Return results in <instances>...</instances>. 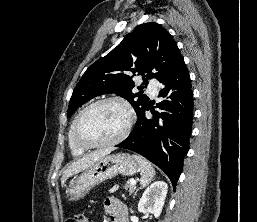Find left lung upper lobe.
<instances>
[{"instance_id":"left-lung-upper-lobe-1","label":"left lung upper lobe","mask_w":257,"mask_h":222,"mask_svg":"<svg viewBox=\"0 0 257 222\" xmlns=\"http://www.w3.org/2000/svg\"><path fill=\"white\" fill-rule=\"evenodd\" d=\"M172 35L155 22L137 26L105 57L94 62L83 74L70 99L67 117L90 99L109 93L125 98L137 115L148 104V96L133 93L132 77L147 72L143 84L150 78L158 81L181 59ZM140 86L138 89H142Z\"/></svg>"}]
</instances>
